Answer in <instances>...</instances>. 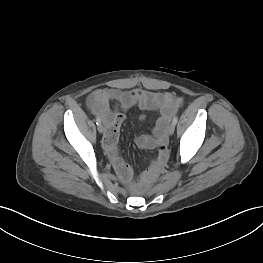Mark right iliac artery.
<instances>
[{
    "mask_svg": "<svg viewBox=\"0 0 263 263\" xmlns=\"http://www.w3.org/2000/svg\"><path fill=\"white\" fill-rule=\"evenodd\" d=\"M96 124H97V125L101 124V119L98 118V117L96 118Z\"/></svg>",
    "mask_w": 263,
    "mask_h": 263,
    "instance_id": "right-iliac-artery-1",
    "label": "right iliac artery"
}]
</instances>
